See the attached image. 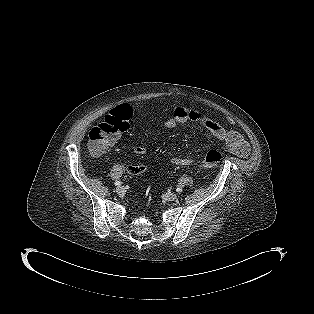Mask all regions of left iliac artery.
<instances>
[{
  "label": "left iliac artery",
  "instance_id": "left-iliac-artery-1",
  "mask_svg": "<svg viewBox=\"0 0 314 314\" xmlns=\"http://www.w3.org/2000/svg\"><path fill=\"white\" fill-rule=\"evenodd\" d=\"M176 191H177L178 193H181V192H182V188H181V187H177V188H176Z\"/></svg>",
  "mask_w": 314,
  "mask_h": 314
}]
</instances>
